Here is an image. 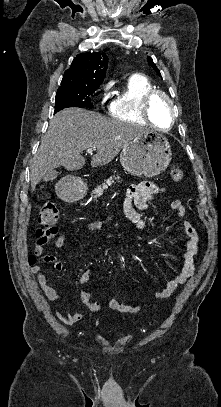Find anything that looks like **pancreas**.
<instances>
[{"instance_id":"1","label":"pancreas","mask_w":221,"mask_h":407,"mask_svg":"<svg viewBox=\"0 0 221 407\" xmlns=\"http://www.w3.org/2000/svg\"><path fill=\"white\" fill-rule=\"evenodd\" d=\"M119 176L115 177V176H111L108 179H106L104 181V183L100 186H97L94 190H93V194H95V196L99 197L103 194L104 190H106L109 186H112V184L115 182L114 180H119Z\"/></svg>"}]
</instances>
